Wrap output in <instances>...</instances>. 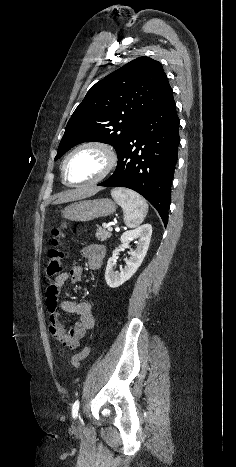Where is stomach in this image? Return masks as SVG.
I'll list each match as a JSON object with an SVG mask.
<instances>
[{"label":"stomach","instance_id":"stomach-1","mask_svg":"<svg viewBox=\"0 0 236 467\" xmlns=\"http://www.w3.org/2000/svg\"><path fill=\"white\" fill-rule=\"evenodd\" d=\"M116 204L108 199H94L75 202L62 210V217L71 221L85 222L113 214Z\"/></svg>","mask_w":236,"mask_h":467}]
</instances>
